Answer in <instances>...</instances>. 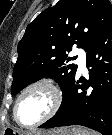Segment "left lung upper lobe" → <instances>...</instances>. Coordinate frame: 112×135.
Listing matches in <instances>:
<instances>
[{"label": "left lung upper lobe", "mask_w": 112, "mask_h": 135, "mask_svg": "<svg viewBox=\"0 0 112 135\" xmlns=\"http://www.w3.org/2000/svg\"><path fill=\"white\" fill-rule=\"evenodd\" d=\"M111 23L109 0H60L42 11L18 44L12 94L44 77L55 79L64 94L77 70L71 63L77 57L68 53L87 51Z\"/></svg>", "instance_id": "obj_1"}]
</instances>
